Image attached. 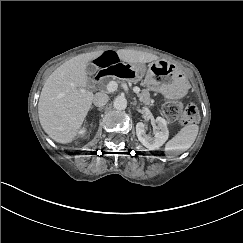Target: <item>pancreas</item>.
Instances as JSON below:
<instances>
[{
    "instance_id": "cf45deb5",
    "label": "pancreas",
    "mask_w": 243,
    "mask_h": 243,
    "mask_svg": "<svg viewBox=\"0 0 243 243\" xmlns=\"http://www.w3.org/2000/svg\"><path fill=\"white\" fill-rule=\"evenodd\" d=\"M137 96L139 97L140 101H142L144 104H152L148 89H143L140 93L137 94Z\"/></svg>"
}]
</instances>
